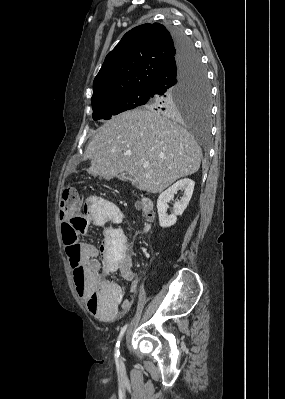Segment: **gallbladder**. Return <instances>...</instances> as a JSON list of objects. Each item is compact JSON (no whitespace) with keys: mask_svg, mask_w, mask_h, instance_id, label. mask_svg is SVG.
<instances>
[{"mask_svg":"<svg viewBox=\"0 0 285 399\" xmlns=\"http://www.w3.org/2000/svg\"><path fill=\"white\" fill-rule=\"evenodd\" d=\"M120 179H122V180H131V177L128 176L127 174H122V175H120Z\"/></svg>","mask_w":285,"mask_h":399,"instance_id":"1","label":"gallbladder"}]
</instances>
